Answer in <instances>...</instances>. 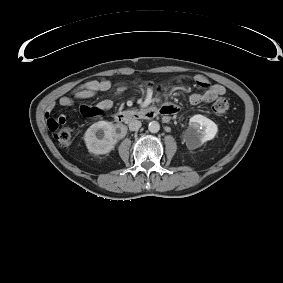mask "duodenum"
<instances>
[{
  "instance_id": "duodenum-1",
  "label": "duodenum",
  "mask_w": 283,
  "mask_h": 283,
  "mask_svg": "<svg viewBox=\"0 0 283 283\" xmlns=\"http://www.w3.org/2000/svg\"><path fill=\"white\" fill-rule=\"evenodd\" d=\"M159 113H162V110L157 108H147L134 112H119L115 114V122L117 125L124 127L130 121L152 119Z\"/></svg>"
}]
</instances>
